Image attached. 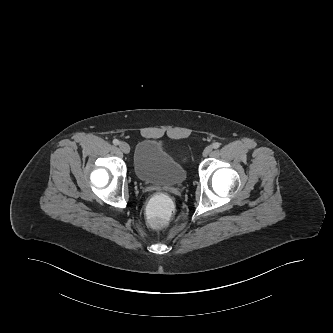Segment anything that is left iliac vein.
Segmentation results:
<instances>
[{"label":"left iliac vein","instance_id":"1","mask_svg":"<svg viewBox=\"0 0 333 333\" xmlns=\"http://www.w3.org/2000/svg\"><path fill=\"white\" fill-rule=\"evenodd\" d=\"M212 152V147L208 146L203 151V156L207 157Z\"/></svg>","mask_w":333,"mask_h":333}]
</instances>
